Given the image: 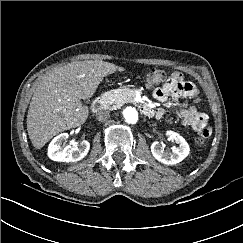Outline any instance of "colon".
I'll list each match as a JSON object with an SVG mask.
<instances>
[{"mask_svg": "<svg viewBox=\"0 0 243 243\" xmlns=\"http://www.w3.org/2000/svg\"><path fill=\"white\" fill-rule=\"evenodd\" d=\"M166 77H167L166 71L153 68V69L149 70L146 74V77H145L146 86L149 88L157 86L160 83H162L166 79ZM205 139L206 138L204 136L198 135L195 138L196 145L202 146L205 143Z\"/></svg>", "mask_w": 243, "mask_h": 243, "instance_id": "obj_1", "label": "colon"}]
</instances>
